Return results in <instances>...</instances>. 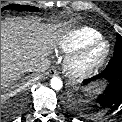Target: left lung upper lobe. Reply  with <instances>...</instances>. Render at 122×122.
<instances>
[{"label":"left lung upper lobe","instance_id":"5c2ea615","mask_svg":"<svg viewBox=\"0 0 122 122\" xmlns=\"http://www.w3.org/2000/svg\"><path fill=\"white\" fill-rule=\"evenodd\" d=\"M117 42L115 43L114 56L122 55V36L117 34Z\"/></svg>","mask_w":122,"mask_h":122}]
</instances>
